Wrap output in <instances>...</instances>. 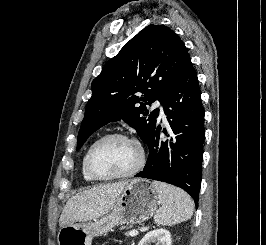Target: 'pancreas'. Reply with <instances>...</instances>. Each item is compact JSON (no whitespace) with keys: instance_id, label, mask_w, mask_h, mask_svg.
I'll return each mask as SVG.
<instances>
[{"instance_id":"cf45deb5","label":"pancreas","mask_w":266,"mask_h":245,"mask_svg":"<svg viewBox=\"0 0 266 245\" xmlns=\"http://www.w3.org/2000/svg\"><path fill=\"white\" fill-rule=\"evenodd\" d=\"M130 231H128V233H126V235H129Z\"/></svg>"}]
</instances>
